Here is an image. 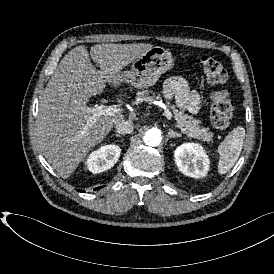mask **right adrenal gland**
Segmentation results:
<instances>
[{
  "label": "right adrenal gland",
  "mask_w": 274,
  "mask_h": 274,
  "mask_svg": "<svg viewBox=\"0 0 274 274\" xmlns=\"http://www.w3.org/2000/svg\"><path fill=\"white\" fill-rule=\"evenodd\" d=\"M113 136L120 137V135H119V134H113Z\"/></svg>",
  "instance_id": "obj_1"
}]
</instances>
